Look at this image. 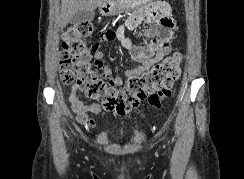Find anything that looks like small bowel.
Masks as SVG:
<instances>
[{"instance_id":"obj_1","label":"small bowel","mask_w":244,"mask_h":179,"mask_svg":"<svg viewBox=\"0 0 244 179\" xmlns=\"http://www.w3.org/2000/svg\"><path fill=\"white\" fill-rule=\"evenodd\" d=\"M135 5L136 8L129 12L131 17H127L123 25L117 30L101 32L91 46L96 66L109 79L112 86H121L129 75L148 71L170 52L171 46L176 40L175 21L167 2L154 0V3H135ZM142 24L145 25L142 36L150 39L146 45L135 44L125 35L126 30H136ZM115 40L137 63L135 67L126 70L124 74H114L111 66L104 58L105 45ZM68 101L77 116L78 122L86 127L92 128L94 126V121L87 116V112L94 114L103 112L100 104L85 102L82 91L77 85L75 89H70Z\"/></svg>"}]
</instances>
